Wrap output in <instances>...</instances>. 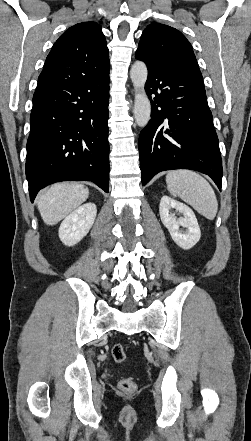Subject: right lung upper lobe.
I'll return each instance as SVG.
<instances>
[{
  "mask_svg": "<svg viewBox=\"0 0 251 441\" xmlns=\"http://www.w3.org/2000/svg\"><path fill=\"white\" fill-rule=\"evenodd\" d=\"M110 69L109 53L101 26L78 23L54 43L39 82L78 80Z\"/></svg>",
  "mask_w": 251,
  "mask_h": 441,
  "instance_id": "obj_1",
  "label": "right lung upper lobe"
}]
</instances>
